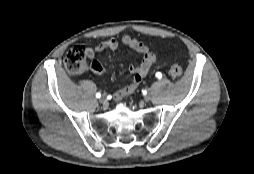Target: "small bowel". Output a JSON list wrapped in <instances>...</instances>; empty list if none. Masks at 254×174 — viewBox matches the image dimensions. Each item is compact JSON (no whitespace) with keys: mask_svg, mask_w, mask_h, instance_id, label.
Returning a JSON list of instances; mask_svg holds the SVG:
<instances>
[{"mask_svg":"<svg viewBox=\"0 0 254 174\" xmlns=\"http://www.w3.org/2000/svg\"><path fill=\"white\" fill-rule=\"evenodd\" d=\"M121 43L125 46H128L141 54L142 61L139 65H130L129 71L133 75V79L124 87L117 89L114 93V97L116 100H121L124 97L132 94L138 86L141 84L143 79L148 74L149 70L153 66L156 61L155 55L152 51L141 41L129 36L124 35L121 39ZM119 42L114 39L110 38L107 39L94 47L87 48V56L90 59H93L98 53L102 51H114L118 48ZM90 70L98 76H104L107 73L105 66L98 62L92 61L90 64Z\"/></svg>","mask_w":254,"mask_h":174,"instance_id":"1","label":"small bowel"}]
</instances>
